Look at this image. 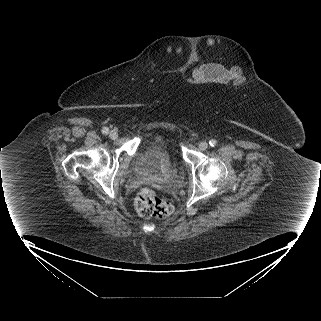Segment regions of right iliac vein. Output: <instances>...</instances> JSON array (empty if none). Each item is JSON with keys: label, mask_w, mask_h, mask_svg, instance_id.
Returning <instances> with one entry per match:
<instances>
[{"label": "right iliac vein", "mask_w": 321, "mask_h": 321, "mask_svg": "<svg viewBox=\"0 0 321 321\" xmlns=\"http://www.w3.org/2000/svg\"><path fill=\"white\" fill-rule=\"evenodd\" d=\"M109 137H110L111 139H116V138L118 137V133H117L115 130H111V131L109 132Z\"/></svg>", "instance_id": "1"}]
</instances>
